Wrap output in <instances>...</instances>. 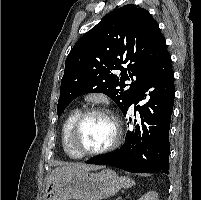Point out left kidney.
<instances>
[{
  "label": "left kidney",
  "mask_w": 201,
  "mask_h": 200,
  "mask_svg": "<svg viewBox=\"0 0 201 200\" xmlns=\"http://www.w3.org/2000/svg\"><path fill=\"white\" fill-rule=\"evenodd\" d=\"M138 200H158V194L155 191H149Z\"/></svg>",
  "instance_id": "1"
}]
</instances>
